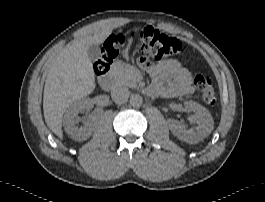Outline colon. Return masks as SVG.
<instances>
[{"label": "colon", "mask_w": 265, "mask_h": 202, "mask_svg": "<svg viewBox=\"0 0 265 202\" xmlns=\"http://www.w3.org/2000/svg\"><path fill=\"white\" fill-rule=\"evenodd\" d=\"M128 38L136 40L139 48L138 61L142 65L148 64L151 59L163 60L183 52V45L178 38L153 28L133 29L129 32L112 34L105 41L102 53L94 64L95 74L98 77L109 71L111 64L119 54L121 45ZM192 78L201 100L207 105H215L216 93L210 76L194 73Z\"/></svg>", "instance_id": "5ec220e1"}]
</instances>
